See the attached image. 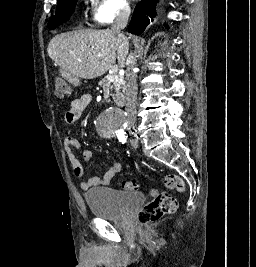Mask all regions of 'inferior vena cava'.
Returning a JSON list of instances; mask_svg holds the SVG:
<instances>
[{
  "mask_svg": "<svg viewBox=\"0 0 256 267\" xmlns=\"http://www.w3.org/2000/svg\"><path fill=\"white\" fill-rule=\"evenodd\" d=\"M131 14V10L129 6H124L122 4L113 24H112V32H116L119 38L122 40H126V36L121 34V30H124L127 26L128 18ZM135 60L133 56H131V60L127 66L126 74H125V84H126V98H125V106H126V114L128 120V126H134L136 122V100H137V72H135Z\"/></svg>",
  "mask_w": 256,
  "mask_h": 267,
  "instance_id": "obj_1",
  "label": "inferior vena cava"
}]
</instances>
